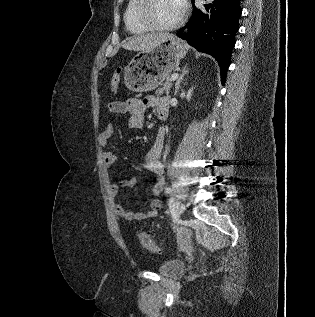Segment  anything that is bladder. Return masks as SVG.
<instances>
[{"label":"bladder","instance_id":"1","mask_svg":"<svg viewBox=\"0 0 315 317\" xmlns=\"http://www.w3.org/2000/svg\"><path fill=\"white\" fill-rule=\"evenodd\" d=\"M185 270V263L179 259H172L164 262L158 268L159 274L166 277H176Z\"/></svg>","mask_w":315,"mask_h":317}]
</instances>
